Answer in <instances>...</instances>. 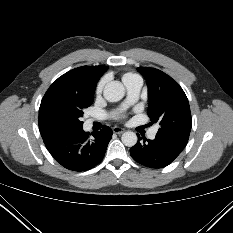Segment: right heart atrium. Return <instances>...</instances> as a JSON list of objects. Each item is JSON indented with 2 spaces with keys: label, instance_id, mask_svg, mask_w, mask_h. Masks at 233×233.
I'll list each match as a JSON object with an SVG mask.
<instances>
[{
  "label": "right heart atrium",
  "instance_id": "right-heart-atrium-1",
  "mask_svg": "<svg viewBox=\"0 0 233 233\" xmlns=\"http://www.w3.org/2000/svg\"><path fill=\"white\" fill-rule=\"evenodd\" d=\"M104 85H105V80L104 79H102V80H100L98 82V84L96 86V90H95L97 95H99L102 92V90L104 88Z\"/></svg>",
  "mask_w": 233,
  "mask_h": 233
}]
</instances>
